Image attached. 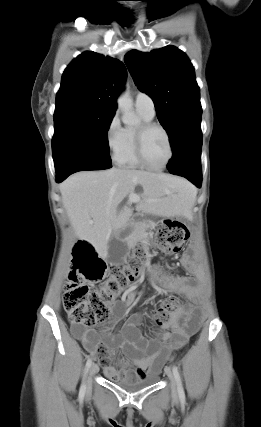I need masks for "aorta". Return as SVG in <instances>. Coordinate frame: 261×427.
I'll use <instances>...</instances> for the list:
<instances>
[{
  "label": "aorta",
  "instance_id": "1",
  "mask_svg": "<svg viewBox=\"0 0 261 427\" xmlns=\"http://www.w3.org/2000/svg\"><path fill=\"white\" fill-rule=\"evenodd\" d=\"M118 108L122 111V121L127 125H135L139 122L138 118L133 112V101L125 90L117 100Z\"/></svg>",
  "mask_w": 261,
  "mask_h": 427
}]
</instances>
